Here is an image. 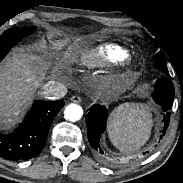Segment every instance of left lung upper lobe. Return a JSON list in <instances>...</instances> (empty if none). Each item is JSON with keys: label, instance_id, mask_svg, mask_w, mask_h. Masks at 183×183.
Instances as JSON below:
<instances>
[{"label": "left lung upper lobe", "instance_id": "obj_1", "mask_svg": "<svg viewBox=\"0 0 183 183\" xmlns=\"http://www.w3.org/2000/svg\"><path fill=\"white\" fill-rule=\"evenodd\" d=\"M154 66L162 72L169 74L167 70L166 58L162 51L156 54Z\"/></svg>", "mask_w": 183, "mask_h": 183}]
</instances>
